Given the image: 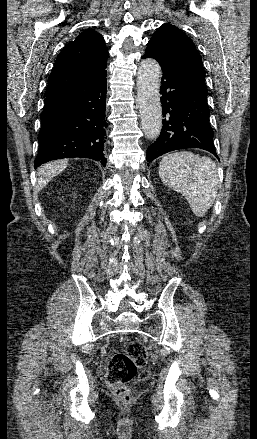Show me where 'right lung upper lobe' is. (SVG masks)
<instances>
[{
  "label": "right lung upper lobe",
  "instance_id": "1",
  "mask_svg": "<svg viewBox=\"0 0 257 439\" xmlns=\"http://www.w3.org/2000/svg\"><path fill=\"white\" fill-rule=\"evenodd\" d=\"M108 55L101 34L94 30L83 31L58 55L45 96L101 75L107 66Z\"/></svg>",
  "mask_w": 257,
  "mask_h": 439
}]
</instances>
